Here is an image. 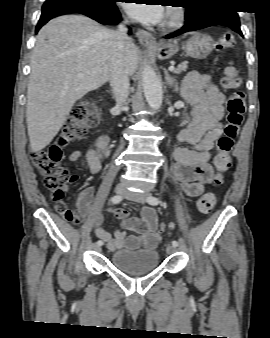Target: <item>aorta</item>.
<instances>
[{"label":"aorta","mask_w":270,"mask_h":338,"mask_svg":"<svg viewBox=\"0 0 270 338\" xmlns=\"http://www.w3.org/2000/svg\"><path fill=\"white\" fill-rule=\"evenodd\" d=\"M142 86L148 104L159 109L163 101V91L160 79L151 66L145 65L142 71Z\"/></svg>","instance_id":"1"}]
</instances>
